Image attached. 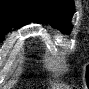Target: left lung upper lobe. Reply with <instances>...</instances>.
<instances>
[{"label": "left lung upper lobe", "instance_id": "left-lung-upper-lobe-1", "mask_svg": "<svg viewBox=\"0 0 89 89\" xmlns=\"http://www.w3.org/2000/svg\"><path fill=\"white\" fill-rule=\"evenodd\" d=\"M31 3L34 22L51 24L63 33L71 31L73 0H31Z\"/></svg>", "mask_w": 89, "mask_h": 89}]
</instances>
